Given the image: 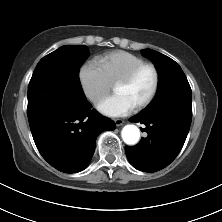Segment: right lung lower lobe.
Returning <instances> with one entry per match:
<instances>
[{"label": "right lung lower lobe", "instance_id": "1", "mask_svg": "<svg viewBox=\"0 0 222 222\" xmlns=\"http://www.w3.org/2000/svg\"><path fill=\"white\" fill-rule=\"evenodd\" d=\"M34 142L43 158L64 173L84 170L95 150L97 136L115 123L91 110L87 101L70 109L40 108L28 112Z\"/></svg>", "mask_w": 222, "mask_h": 222}]
</instances>
